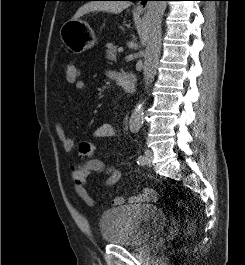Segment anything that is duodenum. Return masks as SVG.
Wrapping results in <instances>:
<instances>
[{
  "label": "duodenum",
  "mask_w": 245,
  "mask_h": 265,
  "mask_svg": "<svg viewBox=\"0 0 245 265\" xmlns=\"http://www.w3.org/2000/svg\"><path fill=\"white\" fill-rule=\"evenodd\" d=\"M114 79L117 85L121 86L125 91L133 93L136 87V76L130 72H116Z\"/></svg>",
  "instance_id": "duodenum-1"
}]
</instances>
